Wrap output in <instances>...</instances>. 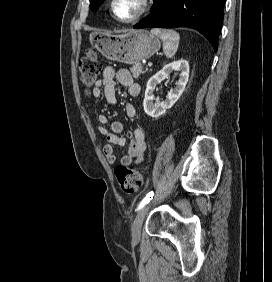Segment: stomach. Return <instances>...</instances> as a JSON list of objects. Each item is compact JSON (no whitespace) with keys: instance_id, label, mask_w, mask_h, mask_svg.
<instances>
[{"instance_id":"obj_1","label":"stomach","mask_w":272,"mask_h":282,"mask_svg":"<svg viewBox=\"0 0 272 282\" xmlns=\"http://www.w3.org/2000/svg\"><path fill=\"white\" fill-rule=\"evenodd\" d=\"M90 42L107 59L126 64H137L156 53L161 42L145 29L129 30L123 34L92 33Z\"/></svg>"}]
</instances>
